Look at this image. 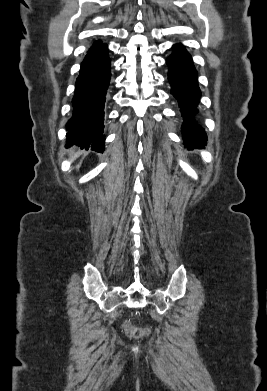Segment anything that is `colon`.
Here are the masks:
<instances>
[{"mask_svg": "<svg viewBox=\"0 0 267 391\" xmlns=\"http://www.w3.org/2000/svg\"><path fill=\"white\" fill-rule=\"evenodd\" d=\"M124 329L132 337H140L147 332V329L136 327L129 322L124 324Z\"/></svg>", "mask_w": 267, "mask_h": 391, "instance_id": "colon-1", "label": "colon"}]
</instances>
